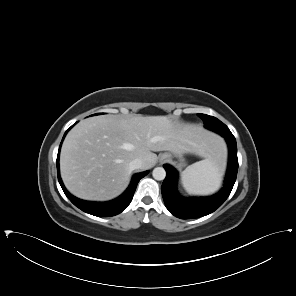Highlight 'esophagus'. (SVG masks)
<instances>
[{
	"label": "esophagus",
	"mask_w": 296,
	"mask_h": 296,
	"mask_svg": "<svg viewBox=\"0 0 296 296\" xmlns=\"http://www.w3.org/2000/svg\"><path fill=\"white\" fill-rule=\"evenodd\" d=\"M167 159H168V156L167 155H162L160 160L161 161H166Z\"/></svg>",
	"instance_id": "34e87169"
}]
</instances>
